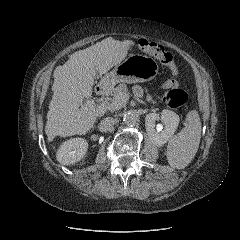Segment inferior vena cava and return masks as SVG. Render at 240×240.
Instances as JSON below:
<instances>
[{
  "label": "inferior vena cava",
  "instance_id": "1",
  "mask_svg": "<svg viewBox=\"0 0 240 240\" xmlns=\"http://www.w3.org/2000/svg\"><path fill=\"white\" fill-rule=\"evenodd\" d=\"M115 123L116 120L114 118L106 117L100 122L99 130L101 132L111 131L113 130Z\"/></svg>",
  "mask_w": 240,
  "mask_h": 240
}]
</instances>
